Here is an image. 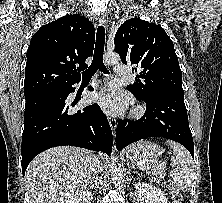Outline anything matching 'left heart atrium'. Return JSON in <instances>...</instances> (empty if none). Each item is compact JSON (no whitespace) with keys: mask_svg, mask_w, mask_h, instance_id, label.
Listing matches in <instances>:
<instances>
[{"mask_svg":"<svg viewBox=\"0 0 222 203\" xmlns=\"http://www.w3.org/2000/svg\"><path fill=\"white\" fill-rule=\"evenodd\" d=\"M94 98L105 111L113 114L122 112L128 104L127 97L114 86L103 88Z\"/></svg>","mask_w":222,"mask_h":203,"instance_id":"39dd6f15","label":"left heart atrium"}]
</instances>
